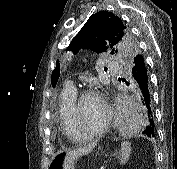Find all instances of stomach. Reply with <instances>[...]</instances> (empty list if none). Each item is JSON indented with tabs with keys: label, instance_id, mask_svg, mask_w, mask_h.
Wrapping results in <instances>:
<instances>
[{
	"label": "stomach",
	"instance_id": "obj_1",
	"mask_svg": "<svg viewBox=\"0 0 177 169\" xmlns=\"http://www.w3.org/2000/svg\"><path fill=\"white\" fill-rule=\"evenodd\" d=\"M65 155L63 153L56 154L49 165V169H65L63 167Z\"/></svg>",
	"mask_w": 177,
	"mask_h": 169
}]
</instances>
